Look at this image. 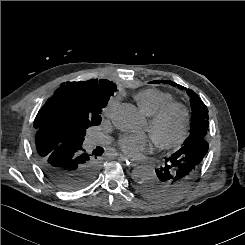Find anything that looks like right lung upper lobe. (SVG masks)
<instances>
[{"label": "right lung upper lobe", "mask_w": 245, "mask_h": 245, "mask_svg": "<svg viewBox=\"0 0 245 245\" xmlns=\"http://www.w3.org/2000/svg\"><path fill=\"white\" fill-rule=\"evenodd\" d=\"M116 91L117 86L104 79L62 83L35 118V146L46 139L55 144L82 142V122L96 117Z\"/></svg>", "instance_id": "obj_1"}]
</instances>
